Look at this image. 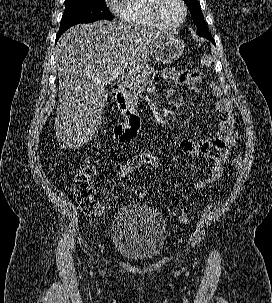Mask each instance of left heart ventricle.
I'll return each instance as SVG.
<instances>
[{
	"instance_id": "b2bd125f",
	"label": "left heart ventricle",
	"mask_w": 272,
	"mask_h": 303,
	"mask_svg": "<svg viewBox=\"0 0 272 303\" xmlns=\"http://www.w3.org/2000/svg\"><path fill=\"white\" fill-rule=\"evenodd\" d=\"M160 15L166 23L178 22L182 17V8L178 0H162Z\"/></svg>"
}]
</instances>
